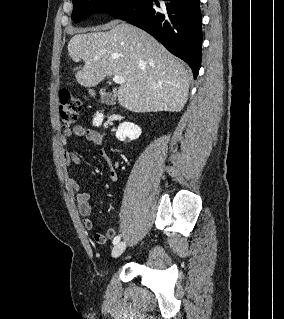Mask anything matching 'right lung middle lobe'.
Instances as JSON below:
<instances>
[{"label": "right lung middle lobe", "instance_id": "right-lung-middle-lobe-1", "mask_svg": "<svg viewBox=\"0 0 284 319\" xmlns=\"http://www.w3.org/2000/svg\"><path fill=\"white\" fill-rule=\"evenodd\" d=\"M132 0H73L72 19L75 23L98 12L108 13Z\"/></svg>", "mask_w": 284, "mask_h": 319}]
</instances>
